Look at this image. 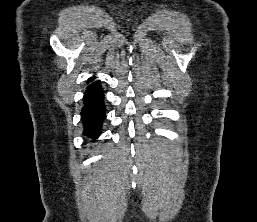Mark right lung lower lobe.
Listing matches in <instances>:
<instances>
[{
  "label": "right lung lower lobe",
  "mask_w": 257,
  "mask_h": 222,
  "mask_svg": "<svg viewBox=\"0 0 257 222\" xmlns=\"http://www.w3.org/2000/svg\"><path fill=\"white\" fill-rule=\"evenodd\" d=\"M94 78L89 79L88 83ZM84 107L81 111V118L84 125L83 135L88 138H98L101 133V126L106 117L104 105V94L100 82L91 83L84 94Z\"/></svg>",
  "instance_id": "right-lung-lower-lobe-1"
}]
</instances>
